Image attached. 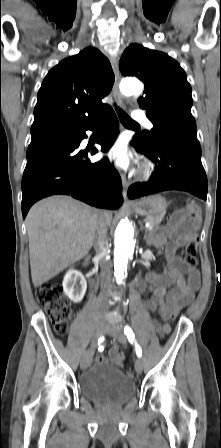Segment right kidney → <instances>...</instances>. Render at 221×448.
I'll return each instance as SVG.
<instances>
[{"mask_svg":"<svg viewBox=\"0 0 221 448\" xmlns=\"http://www.w3.org/2000/svg\"><path fill=\"white\" fill-rule=\"evenodd\" d=\"M62 286L68 298L74 303H79L85 295L87 282L81 272L70 269L64 276Z\"/></svg>","mask_w":221,"mask_h":448,"instance_id":"1","label":"right kidney"}]
</instances>
